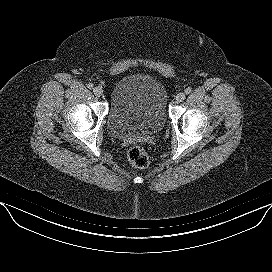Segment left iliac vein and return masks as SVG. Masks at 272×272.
Masks as SVG:
<instances>
[{
    "mask_svg": "<svg viewBox=\"0 0 272 272\" xmlns=\"http://www.w3.org/2000/svg\"><path fill=\"white\" fill-rule=\"evenodd\" d=\"M185 99V93L180 92L176 95L175 100L177 102H182Z\"/></svg>",
    "mask_w": 272,
    "mask_h": 272,
    "instance_id": "left-iliac-vein-1",
    "label": "left iliac vein"
}]
</instances>
